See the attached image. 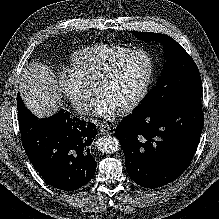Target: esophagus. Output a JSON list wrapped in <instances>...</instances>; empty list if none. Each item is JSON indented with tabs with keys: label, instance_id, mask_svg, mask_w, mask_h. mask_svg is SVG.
<instances>
[{
	"label": "esophagus",
	"instance_id": "34e87169",
	"mask_svg": "<svg viewBox=\"0 0 219 219\" xmlns=\"http://www.w3.org/2000/svg\"><path fill=\"white\" fill-rule=\"evenodd\" d=\"M99 130H100V133L101 134H108L111 132L112 130V126L111 125H108V124H101L99 126Z\"/></svg>",
	"mask_w": 219,
	"mask_h": 219
}]
</instances>
